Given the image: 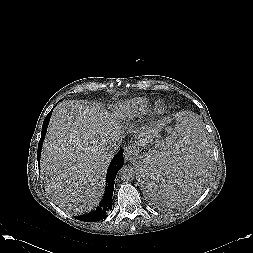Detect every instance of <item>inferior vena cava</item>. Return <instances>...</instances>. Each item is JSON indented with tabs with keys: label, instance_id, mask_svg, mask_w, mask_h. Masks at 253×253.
<instances>
[{
	"label": "inferior vena cava",
	"instance_id": "obj_1",
	"mask_svg": "<svg viewBox=\"0 0 253 253\" xmlns=\"http://www.w3.org/2000/svg\"><path fill=\"white\" fill-rule=\"evenodd\" d=\"M120 148V142L118 143H111L109 146H107V151L111 154H114L115 152H117Z\"/></svg>",
	"mask_w": 253,
	"mask_h": 253
}]
</instances>
